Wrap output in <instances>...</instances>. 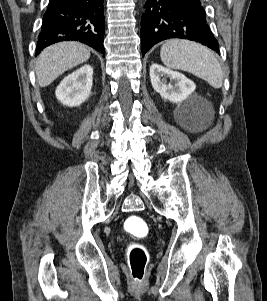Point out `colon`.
Wrapping results in <instances>:
<instances>
[{
    "mask_svg": "<svg viewBox=\"0 0 267 301\" xmlns=\"http://www.w3.org/2000/svg\"><path fill=\"white\" fill-rule=\"evenodd\" d=\"M125 230L132 236L143 238L148 233L146 222L139 216L131 215L124 224ZM127 260L133 281L139 283L144 279L149 253L146 247L139 243H132L127 249Z\"/></svg>",
    "mask_w": 267,
    "mask_h": 301,
    "instance_id": "obj_1",
    "label": "colon"
}]
</instances>
